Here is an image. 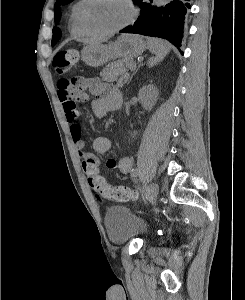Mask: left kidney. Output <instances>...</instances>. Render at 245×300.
<instances>
[{"label":"left kidney","mask_w":245,"mask_h":300,"mask_svg":"<svg viewBox=\"0 0 245 300\" xmlns=\"http://www.w3.org/2000/svg\"><path fill=\"white\" fill-rule=\"evenodd\" d=\"M138 97L142 106L151 110L157 101L158 90L153 85L144 86L140 89Z\"/></svg>","instance_id":"left-kidney-1"}]
</instances>
